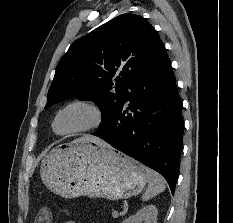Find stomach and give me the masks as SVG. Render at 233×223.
<instances>
[{"label": "stomach", "instance_id": "obj_1", "mask_svg": "<svg viewBox=\"0 0 233 223\" xmlns=\"http://www.w3.org/2000/svg\"><path fill=\"white\" fill-rule=\"evenodd\" d=\"M40 177L61 197L127 199L147 183V167L113 147L92 141L60 143L41 161Z\"/></svg>", "mask_w": 233, "mask_h": 223}]
</instances>
